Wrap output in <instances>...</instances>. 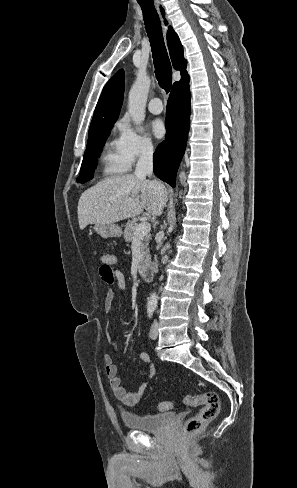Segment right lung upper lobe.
<instances>
[{
	"label": "right lung upper lobe",
	"mask_w": 297,
	"mask_h": 488,
	"mask_svg": "<svg viewBox=\"0 0 297 488\" xmlns=\"http://www.w3.org/2000/svg\"><path fill=\"white\" fill-rule=\"evenodd\" d=\"M167 42L173 67L176 70L181 71V80L189 78L186 71L187 62L183 57V47L172 27H169ZM123 94L124 71L119 70L103 88L99 101L96 105L89 132L98 126L107 124L114 125L120 113Z\"/></svg>",
	"instance_id": "1"
}]
</instances>
